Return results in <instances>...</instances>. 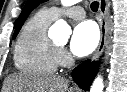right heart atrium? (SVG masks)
I'll return each instance as SVG.
<instances>
[{
	"label": "right heart atrium",
	"instance_id": "obj_1",
	"mask_svg": "<svg viewBox=\"0 0 127 92\" xmlns=\"http://www.w3.org/2000/svg\"><path fill=\"white\" fill-rule=\"evenodd\" d=\"M58 61H59V64L62 66L67 65L70 61V56L68 52L63 48L58 49Z\"/></svg>",
	"mask_w": 127,
	"mask_h": 92
}]
</instances>
